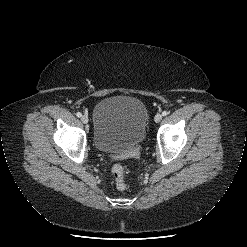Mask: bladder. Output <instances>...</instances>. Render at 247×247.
Masks as SVG:
<instances>
[{
	"label": "bladder",
	"mask_w": 247,
	"mask_h": 247,
	"mask_svg": "<svg viewBox=\"0 0 247 247\" xmlns=\"http://www.w3.org/2000/svg\"><path fill=\"white\" fill-rule=\"evenodd\" d=\"M148 111L131 96H111L99 101L93 112V144L103 153L129 155L145 139Z\"/></svg>",
	"instance_id": "obj_1"
}]
</instances>
